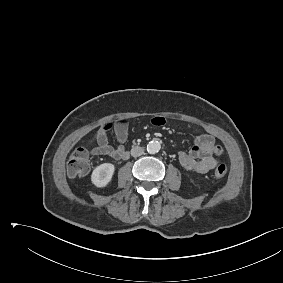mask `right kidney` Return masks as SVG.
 Segmentation results:
<instances>
[{
    "instance_id": "1",
    "label": "right kidney",
    "mask_w": 283,
    "mask_h": 283,
    "mask_svg": "<svg viewBox=\"0 0 283 283\" xmlns=\"http://www.w3.org/2000/svg\"><path fill=\"white\" fill-rule=\"evenodd\" d=\"M114 171L115 167L113 164L103 163L93 170L91 181L96 187H105L111 181Z\"/></svg>"
}]
</instances>
